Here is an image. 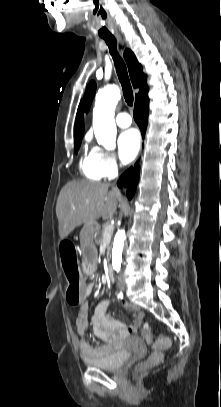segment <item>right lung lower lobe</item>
I'll use <instances>...</instances> for the list:
<instances>
[{"label":"right lung lower lobe","instance_id":"1","mask_svg":"<svg viewBox=\"0 0 221 407\" xmlns=\"http://www.w3.org/2000/svg\"><path fill=\"white\" fill-rule=\"evenodd\" d=\"M148 103L149 99L147 97L144 100L135 104L134 107V119L141 130L142 137L145 136L148 123ZM138 177H139V167L137 164H135V167L129 168L125 173L122 174L118 181V186L120 187L123 185L128 186L127 196L129 199L132 198L136 190Z\"/></svg>","mask_w":221,"mask_h":407}]
</instances>
